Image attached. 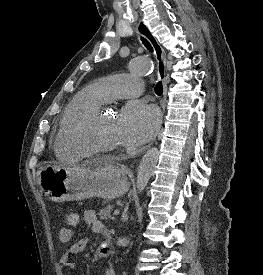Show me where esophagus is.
I'll list each match as a JSON object with an SVG mask.
<instances>
[{"label":"esophagus","instance_id":"1","mask_svg":"<svg viewBox=\"0 0 263 275\" xmlns=\"http://www.w3.org/2000/svg\"><path fill=\"white\" fill-rule=\"evenodd\" d=\"M138 32L143 35L152 45L155 53V58L157 62V72L159 78L162 80L163 83V98L161 101V108H162V115L165 111L166 106V98H167V85L169 82V77L167 75V59H166V53L163 49V47L160 45L156 37L152 34L150 29L143 23L139 22L137 25ZM161 128V125L159 127V130ZM159 132V131H158ZM153 141L146 147L149 148L152 145Z\"/></svg>","mask_w":263,"mask_h":275}]
</instances>
